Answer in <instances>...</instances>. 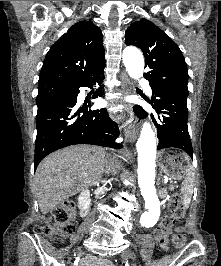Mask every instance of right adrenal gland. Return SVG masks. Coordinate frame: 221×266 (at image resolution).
Instances as JSON below:
<instances>
[{"label": "right adrenal gland", "instance_id": "right-adrenal-gland-1", "mask_svg": "<svg viewBox=\"0 0 221 266\" xmlns=\"http://www.w3.org/2000/svg\"><path fill=\"white\" fill-rule=\"evenodd\" d=\"M105 173H106L107 175H109V174H110L108 171H105Z\"/></svg>", "mask_w": 221, "mask_h": 266}]
</instances>
